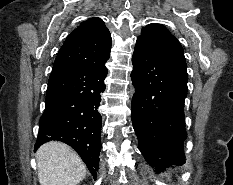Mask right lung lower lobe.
<instances>
[{
  "label": "right lung lower lobe",
  "instance_id": "obj_1",
  "mask_svg": "<svg viewBox=\"0 0 233 185\" xmlns=\"http://www.w3.org/2000/svg\"><path fill=\"white\" fill-rule=\"evenodd\" d=\"M107 72L104 64L51 73L35 145L36 150L50 140L67 143L77 151L94 178L101 151V115L97 109Z\"/></svg>",
  "mask_w": 233,
  "mask_h": 185
}]
</instances>
